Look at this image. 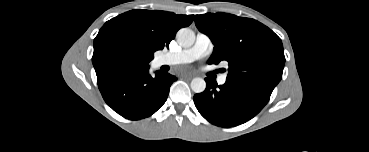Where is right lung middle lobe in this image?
I'll use <instances>...</instances> for the list:
<instances>
[{"label":"right lung middle lobe","mask_w":369,"mask_h":152,"mask_svg":"<svg viewBox=\"0 0 369 152\" xmlns=\"http://www.w3.org/2000/svg\"><path fill=\"white\" fill-rule=\"evenodd\" d=\"M149 67L135 53L123 50L103 57L96 69L97 79L106 80L122 72Z\"/></svg>","instance_id":"1"}]
</instances>
